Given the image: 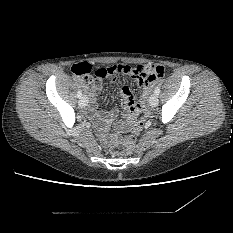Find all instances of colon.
I'll use <instances>...</instances> for the list:
<instances>
[{
    "mask_svg": "<svg viewBox=\"0 0 233 233\" xmlns=\"http://www.w3.org/2000/svg\"><path fill=\"white\" fill-rule=\"evenodd\" d=\"M72 73L80 77L81 84L86 85L89 80L103 79L116 73H122L143 82H151L164 76L165 67L160 64H152L150 66L117 63L109 67H101L94 69L88 62H80L70 67ZM144 110V105H132L129 108L131 113L139 115ZM135 139L128 135L122 139L115 141L110 147V154L113 156L128 155L134 148Z\"/></svg>",
    "mask_w": 233,
    "mask_h": 233,
    "instance_id": "1",
    "label": "colon"
}]
</instances>
